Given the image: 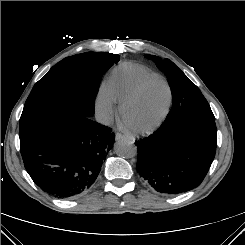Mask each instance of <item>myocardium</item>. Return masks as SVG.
Instances as JSON below:
<instances>
[{"mask_svg":"<svg viewBox=\"0 0 245 245\" xmlns=\"http://www.w3.org/2000/svg\"><path fill=\"white\" fill-rule=\"evenodd\" d=\"M153 82H160L162 83L166 89H167V93H168V98H167V102L165 105V108L162 112V114L158 117V119L156 121H154L152 124L145 126V127H136V126H132L130 124L127 123L126 119H125V111L126 109L132 105L133 103H135L140 96L142 95L143 91L145 90V88L150 85ZM172 89L169 85V83L162 77L160 76H154V77H150L146 80H144L137 88L136 90L128 97L126 98L119 107V112H120V116L125 124V126L133 133L136 134H148L151 133L153 131H155L166 119V117L168 116V113L170 111V107H171V103H172Z\"/></svg>","mask_w":245,"mask_h":245,"instance_id":"obj_1","label":"myocardium"}]
</instances>
